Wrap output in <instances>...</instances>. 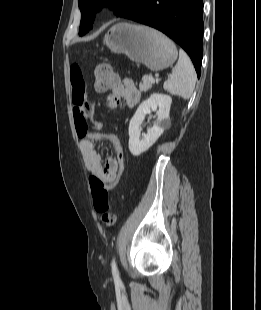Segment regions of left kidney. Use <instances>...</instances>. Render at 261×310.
Returning <instances> with one entry per match:
<instances>
[{
	"label": "left kidney",
	"instance_id": "obj_1",
	"mask_svg": "<svg viewBox=\"0 0 261 310\" xmlns=\"http://www.w3.org/2000/svg\"><path fill=\"white\" fill-rule=\"evenodd\" d=\"M172 98L169 95L153 93L137 108L129 123V150L132 155L139 156L148 150L161 136L169 124V112ZM156 111L157 120L154 126L148 129L147 134L141 136V124L147 114Z\"/></svg>",
	"mask_w": 261,
	"mask_h": 310
}]
</instances>
